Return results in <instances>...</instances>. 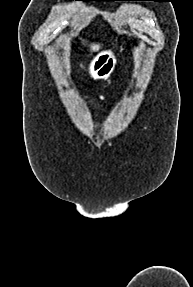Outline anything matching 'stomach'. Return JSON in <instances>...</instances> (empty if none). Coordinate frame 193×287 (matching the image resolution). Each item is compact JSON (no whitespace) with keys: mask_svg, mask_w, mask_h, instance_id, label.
I'll return each mask as SVG.
<instances>
[{"mask_svg":"<svg viewBox=\"0 0 193 287\" xmlns=\"http://www.w3.org/2000/svg\"><path fill=\"white\" fill-rule=\"evenodd\" d=\"M116 66V58L112 51L107 50L97 54L89 63L88 70L95 80L110 77Z\"/></svg>","mask_w":193,"mask_h":287,"instance_id":"obj_1","label":"stomach"}]
</instances>
